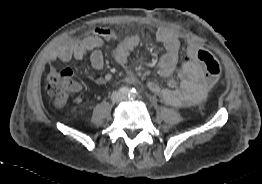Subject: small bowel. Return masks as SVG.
Returning <instances> with one entry per match:
<instances>
[{
    "label": "small bowel",
    "instance_id": "1",
    "mask_svg": "<svg viewBox=\"0 0 262 184\" xmlns=\"http://www.w3.org/2000/svg\"><path fill=\"white\" fill-rule=\"evenodd\" d=\"M117 33L109 28L95 27L84 38L70 40L60 44L49 57V64L53 66L58 61L69 62L72 59H83L89 55L92 67L100 71L104 67V57L101 47L106 41H114ZM156 39L165 48L160 58L157 71L166 79L168 87L162 88L156 82H148L149 90L159 95L162 100L175 107H185L201 102L207 93L208 87L204 82L205 72L199 66L196 50L188 44L184 48L183 63L179 64L180 35L169 28H161L156 32ZM139 35H130L118 41L114 50V59L124 65L130 54L140 44ZM126 81L131 83L130 77ZM104 78H98L97 83L103 84Z\"/></svg>",
    "mask_w": 262,
    "mask_h": 184
}]
</instances>
